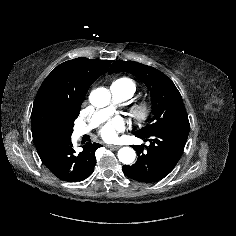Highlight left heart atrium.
Wrapping results in <instances>:
<instances>
[{"instance_id":"obj_1","label":"left heart atrium","mask_w":236,"mask_h":236,"mask_svg":"<svg viewBox=\"0 0 236 236\" xmlns=\"http://www.w3.org/2000/svg\"><path fill=\"white\" fill-rule=\"evenodd\" d=\"M124 129V121L121 117H114L100 129L101 137L106 141H114L118 131Z\"/></svg>"}]
</instances>
